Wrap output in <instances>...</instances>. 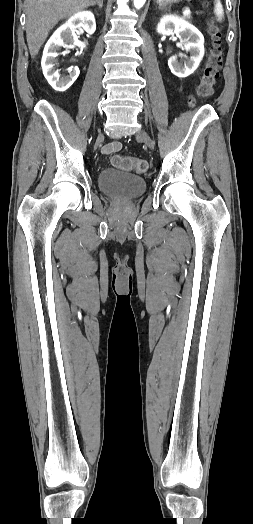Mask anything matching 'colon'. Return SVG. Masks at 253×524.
<instances>
[{
    "label": "colon",
    "instance_id": "5ec220e1",
    "mask_svg": "<svg viewBox=\"0 0 253 524\" xmlns=\"http://www.w3.org/2000/svg\"><path fill=\"white\" fill-rule=\"evenodd\" d=\"M210 34L212 37V46L197 88L198 96L203 98L212 95L219 77V71L223 64L222 31L219 25L213 21L210 24ZM112 164L116 168L135 171L137 173H144L148 169L147 161L142 158L114 156L112 158Z\"/></svg>",
    "mask_w": 253,
    "mask_h": 524
}]
</instances>
